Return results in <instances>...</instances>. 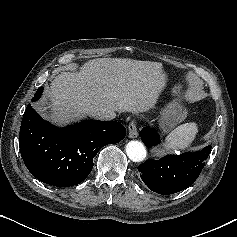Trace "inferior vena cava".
<instances>
[{"label":"inferior vena cava","instance_id":"inferior-vena-cava-1","mask_svg":"<svg viewBox=\"0 0 237 237\" xmlns=\"http://www.w3.org/2000/svg\"><path fill=\"white\" fill-rule=\"evenodd\" d=\"M92 116L99 120H112L116 117V114L112 110H99V111H94L92 113Z\"/></svg>","mask_w":237,"mask_h":237}]
</instances>
